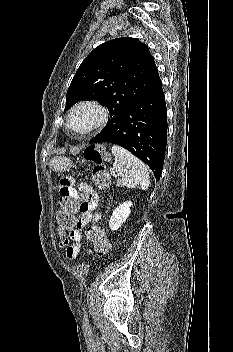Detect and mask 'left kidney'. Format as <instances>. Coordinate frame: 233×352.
<instances>
[{"label":"left kidney","mask_w":233,"mask_h":352,"mask_svg":"<svg viewBox=\"0 0 233 352\" xmlns=\"http://www.w3.org/2000/svg\"><path fill=\"white\" fill-rule=\"evenodd\" d=\"M131 206L132 202L126 201L115 208L109 220V227L111 230H118L122 226L131 212Z\"/></svg>","instance_id":"1"}]
</instances>
